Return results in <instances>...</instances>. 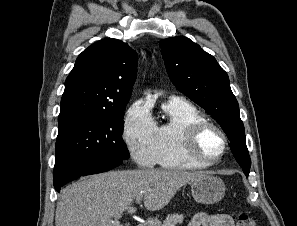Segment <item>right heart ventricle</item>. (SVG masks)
<instances>
[{
  "label": "right heart ventricle",
  "mask_w": 297,
  "mask_h": 226,
  "mask_svg": "<svg viewBox=\"0 0 297 226\" xmlns=\"http://www.w3.org/2000/svg\"><path fill=\"white\" fill-rule=\"evenodd\" d=\"M167 120L157 126V163L170 169H199L203 166L188 158L182 133L193 123L206 120L193 104L183 99H168L163 105Z\"/></svg>",
  "instance_id": "e07e8e85"
}]
</instances>
